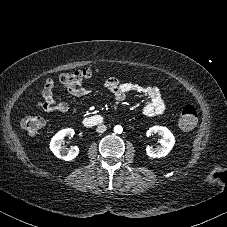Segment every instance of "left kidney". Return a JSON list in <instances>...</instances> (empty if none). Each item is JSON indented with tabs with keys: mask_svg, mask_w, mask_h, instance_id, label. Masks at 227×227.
<instances>
[{
	"mask_svg": "<svg viewBox=\"0 0 227 227\" xmlns=\"http://www.w3.org/2000/svg\"><path fill=\"white\" fill-rule=\"evenodd\" d=\"M158 133L161 137V146L156 149L147 146L146 153L153 158H161L166 156L175 144V137L169 129L163 126H153L147 131V136Z\"/></svg>",
	"mask_w": 227,
	"mask_h": 227,
	"instance_id": "1",
	"label": "left kidney"
}]
</instances>
